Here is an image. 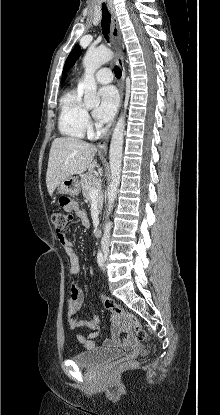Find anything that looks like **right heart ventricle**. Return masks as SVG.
Masks as SVG:
<instances>
[{
	"label": "right heart ventricle",
	"mask_w": 220,
	"mask_h": 415,
	"mask_svg": "<svg viewBox=\"0 0 220 415\" xmlns=\"http://www.w3.org/2000/svg\"><path fill=\"white\" fill-rule=\"evenodd\" d=\"M58 128L62 135L82 139L90 134L87 112L82 104L80 93L68 90L60 99Z\"/></svg>",
	"instance_id": "e07e8e85"
}]
</instances>
